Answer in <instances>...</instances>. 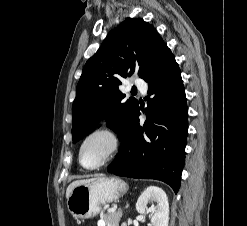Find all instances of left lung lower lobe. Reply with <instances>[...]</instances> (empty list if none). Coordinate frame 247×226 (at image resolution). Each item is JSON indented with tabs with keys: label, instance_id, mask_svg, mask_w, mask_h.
<instances>
[{
	"label": "left lung lower lobe",
	"instance_id": "1",
	"mask_svg": "<svg viewBox=\"0 0 247 226\" xmlns=\"http://www.w3.org/2000/svg\"><path fill=\"white\" fill-rule=\"evenodd\" d=\"M148 84L147 120L137 107L120 131L121 146L107 171L118 176L156 179L178 192L185 160L188 109L181 71L165 45L143 78Z\"/></svg>",
	"mask_w": 247,
	"mask_h": 226
}]
</instances>
